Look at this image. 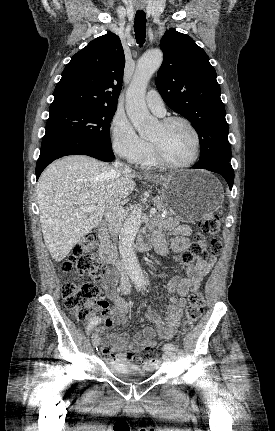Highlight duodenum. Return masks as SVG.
Instances as JSON below:
<instances>
[{"label":"duodenum","instance_id":"duodenum-1","mask_svg":"<svg viewBox=\"0 0 275 431\" xmlns=\"http://www.w3.org/2000/svg\"><path fill=\"white\" fill-rule=\"evenodd\" d=\"M106 231L107 224L105 222L100 223L98 226V234L100 237L99 254L105 263H113L116 259L115 250L106 238ZM152 244L153 239L149 235H146L140 240L138 248L142 252L148 251Z\"/></svg>","mask_w":275,"mask_h":431}]
</instances>
